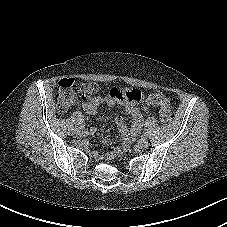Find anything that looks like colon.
Here are the masks:
<instances>
[{
  "label": "colon",
  "instance_id": "obj_1",
  "mask_svg": "<svg viewBox=\"0 0 227 227\" xmlns=\"http://www.w3.org/2000/svg\"><path fill=\"white\" fill-rule=\"evenodd\" d=\"M98 91V86L92 82L77 84L72 78L61 79L58 83L57 109L64 114L78 99L81 94L83 98L89 99ZM146 101L149 105L160 106L159 120L168 122L172 118V110L169 99L160 91H154L147 95Z\"/></svg>",
  "mask_w": 227,
  "mask_h": 227
}]
</instances>
